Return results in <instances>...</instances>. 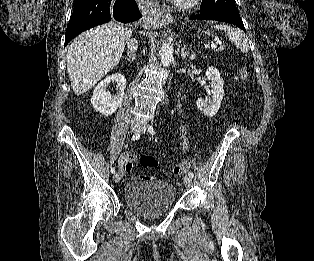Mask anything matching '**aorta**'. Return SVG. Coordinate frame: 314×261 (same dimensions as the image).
<instances>
[{
  "label": "aorta",
  "mask_w": 314,
  "mask_h": 261,
  "mask_svg": "<svg viewBox=\"0 0 314 261\" xmlns=\"http://www.w3.org/2000/svg\"><path fill=\"white\" fill-rule=\"evenodd\" d=\"M174 46L171 41H165L160 49L159 55L163 67H168L173 60Z\"/></svg>",
  "instance_id": "aorta-1"
}]
</instances>
